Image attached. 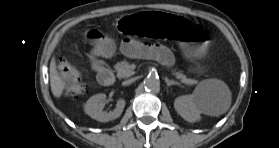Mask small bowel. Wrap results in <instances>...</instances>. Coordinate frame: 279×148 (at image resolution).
<instances>
[{"label":"small bowel","instance_id":"c3829d8e","mask_svg":"<svg viewBox=\"0 0 279 148\" xmlns=\"http://www.w3.org/2000/svg\"><path fill=\"white\" fill-rule=\"evenodd\" d=\"M121 51L127 57L156 59L163 65H170L173 61L172 54L164 46L135 37H126L121 43Z\"/></svg>","mask_w":279,"mask_h":148}]
</instances>
